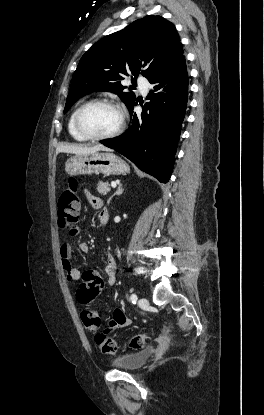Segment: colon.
Returning a JSON list of instances; mask_svg holds the SVG:
<instances>
[{
    "label": "colon",
    "instance_id": "obj_1",
    "mask_svg": "<svg viewBox=\"0 0 264 415\" xmlns=\"http://www.w3.org/2000/svg\"><path fill=\"white\" fill-rule=\"evenodd\" d=\"M81 203L77 192V182L74 178L69 181L68 187L63 191L59 207L58 215L60 218L61 227L64 232L73 236L76 233V223L80 213ZM102 286L101 277L89 271L82 277V283L76 291L77 302L81 306H87L91 303ZM84 326L90 332H95L96 342L100 350L107 355H114L118 350L117 342L108 335L104 330H101V319L99 313L94 308H84L81 312ZM147 337L144 335L134 336L130 342L129 347L134 350L143 348L146 344Z\"/></svg>",
    "mask_w": 264,
    "mask_h": 415
}]
</instances>
